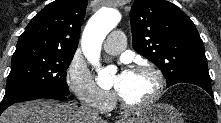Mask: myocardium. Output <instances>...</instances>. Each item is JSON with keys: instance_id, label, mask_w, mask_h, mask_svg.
Masks as SVG:
<instances>
[{"instance_id": "myocardium-1", "label": "myocardium", "mask_w": 221, "mask_h": 123, "mask_svg": "<svg viewBox=\"0 0 221 123\" xmlns=\"http://www.w3.org/2000/svg\"><path fill=\"white\" fill-rule=\"evenodd\" d=\"M132 71L148 72L156 81V89L153 95L148 100L137 104L126 101L119 92L115 90V97L123 109L127 111H139L146 109L159 101L164 92L165 79L162 72L149 63L138 64L132 68Z\"/></svg>"}]
</instances>
